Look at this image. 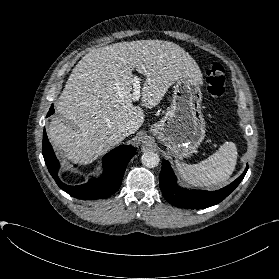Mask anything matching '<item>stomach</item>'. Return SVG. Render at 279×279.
<instances>
[{"label":"stomach","instance_id":"obj_1","mask_svg":"<svg viewBox=\"0 0 279 279\" xmlns=\"http://www.w3.org/2000/svg\"><path fill=\"white\" fill-rule=\"evenodd\" d=\"M173 89L170 107L150 131L174 157L182 159L193 155L205 137L202 91L196 80L186 76H180Z\"/></svg>","mask_w":279,"mask_h":279}]
</instances>
